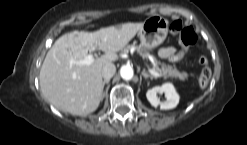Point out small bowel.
Wrapping results in <instances>:
<instances>
[{
  "label": "small bowel",
  "instance_id": "obj_1",
  "mask_svg": "<svg viewBox=\"0 0 247 145\" xmlns=\"http://www.w3.org/2000/svg\"><path fill=\"white\" fill-rule=\"evenodd\" d=\"M185 51L183 49H176L174 47H165L160 49L159 55L171 61H178L183 58Z\"/></svg>",
  "mask_w": 247,
  "mask_h": 145
}]
</instances>
